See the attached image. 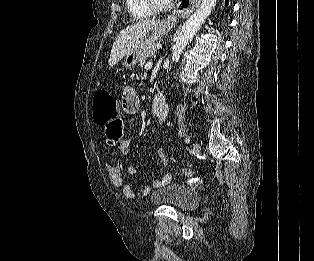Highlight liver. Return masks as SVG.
<instances>
[{"instance_id":"6515ba94","label":"liver","mask_w":314,"mask_h":261,"mask_svg":"<svg viewBox=\"0 0 314 261\" xmlns=\"http://www.w3.org/2000/svg\"><path fill=\"white\" fill-rule=\"evenodd\" d=\"M160 25V21L145 20L124 28L114 41L112 46L109 66L113 67L123 57L129 54L145 38L150 30Z\"/></svg>"}]
</instances>
